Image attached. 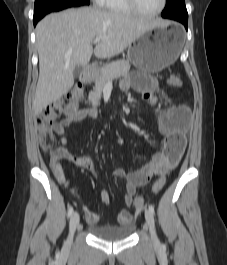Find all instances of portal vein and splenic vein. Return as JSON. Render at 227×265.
<instances>
[{"label":"portal vein and splenic vein","instance_id":"18ae733b","mask_svg":"<svg viewBox=\"0 0 227 265\" xmlns=\"http://www.w3.org/2000/svg\"><path fill=\"white\" fill-rule=\"evenodd\" d=\"M101 38L97 37L93 40V43L97 44L100 41Z\"/></svg>","mask_w":227,"mask_h":265}]
</instances>
